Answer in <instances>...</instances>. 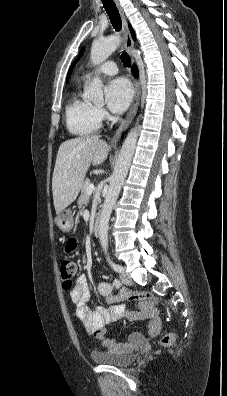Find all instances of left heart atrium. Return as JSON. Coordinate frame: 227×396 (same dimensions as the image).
Listing matches in <instances>:
<instances>
[{
  "label": "left heart atrium",
  "mask_w": 227,
  "mask_h": 396,
  "mask_svg": "<svg viewBox=\"0 0 227 396\" xmlns=\"http://www.w3.org/2000/svg\"><path fill=\"white\" fill-rule=\"evenodd\" d=\"M108 108L114 113H122L129 106L133 90L125 78H116L109 82L105 91Z\"/></svg>",
  "instance_id": "1"
}]
</instances>
